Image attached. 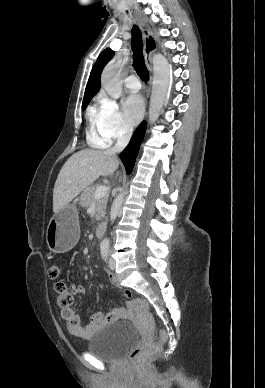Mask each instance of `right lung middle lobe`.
<instances>
[{"label": "right lung middle lobe", "mask_w": 265, "mask_h": 388, "mask_svg": "<svg viewBox=\"0 0 265 388\" xmlns=\"http://www.w3.org/2000/svg\"><path fill=\"white\" fill-rule=\"evenodd\" d=\"M88 103H89V102H88ZM88 103H86V104H84V105L82 106V109H83V110H85V108L87 107Z\"/></svg>", "instance_id": "dd1d6c3e"}]
</instances>
